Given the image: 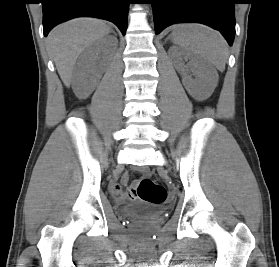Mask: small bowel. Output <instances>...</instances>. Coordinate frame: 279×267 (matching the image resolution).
<instances>
[{"label":"small bowel","instance_id":"small-bowel-1","mask_svg":"<svg viewBox=\"0 0 279 267\" xmlns=\"http://www.w3.org/2000/svg\"><path fill=\"white\" fill-rule=\"evenodd\" d=\"M128 180H129V176L127 174H125L122 177V182L124 184H126L128 182ZM109 188H110V192H111L112 196L117 201H124L128 196L132 199H135L136 197H138V192H133V191H137V186H127V191H129L128 194H125L122 191L120 184L117 182H112L110 184Z\"/></svg>","mask_w":279,"mask_h":267}]
</instances>
